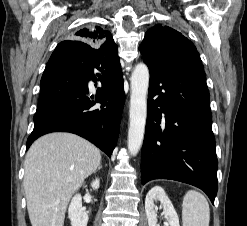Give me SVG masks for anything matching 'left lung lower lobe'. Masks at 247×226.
I'll return each mask as SVG.
<instances>
[{"label": "left lung lower lobe", "mask_w": 247, "mask_h": 226, "mask_svg": "<svg viewBox=\"0 0 247 226\" xmlns=\"http://www.w3.org/2000/svg\"><path fill=\"white\" fill-rule=\"evenodd\" d=\"M150 71L141 183L171 179L202 189L214 204L217 157L210 96L203 68ZM157 96L156 99H153Z\"/></svg>", "instance_id": "1"}]
</instances>
